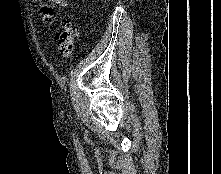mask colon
<instances>
[{
    "mask_svg": "<svg viewBox=\"0 0 221 174\" xmlns=\"http://www.w3.org/2000/svg\"><path fill=\"white\" fill-rule=\"evenodd\" d=\"M78 36V27L72 21H66L62 30L57 33L58 54L61 57H68L75 49V41Z\"/></svg>",
    "mask_w": 221,
    "mask_h": 174,
    "instance_id": "colon-1",
    "label": "colon"
}]
</instances>
